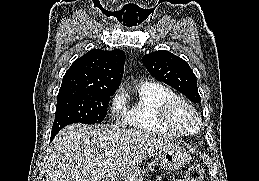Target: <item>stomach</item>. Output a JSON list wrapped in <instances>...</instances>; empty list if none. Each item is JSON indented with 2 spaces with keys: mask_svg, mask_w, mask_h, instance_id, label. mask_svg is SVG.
<instances>
[{
  "mask_svg": "<svg viewBox=\"0 0 259 181\" xmlns=\"http://www.w3.org/2000/svg\"><path fill=\"white\" fill-rule=\"evenodd\" d=\"M155 160L161 169L175 171L185 166L190 161V156L183 147L172 144L167 149L156 152ZM146 176L147 171L144 168L135 167L112 181H143Z\"/></svg>",
  "mask_w": 259,
  "mask_h": 181,
  "instance_id": "stomach-1",
  "label": "stomach"
}]
</instances>
